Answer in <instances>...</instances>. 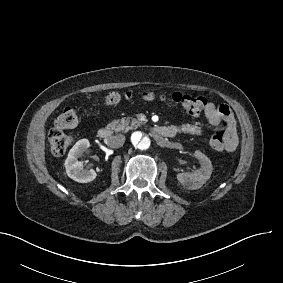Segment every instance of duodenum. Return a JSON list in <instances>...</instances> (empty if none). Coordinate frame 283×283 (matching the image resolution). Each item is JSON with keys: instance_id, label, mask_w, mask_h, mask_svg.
I'll list each match as a JSON object with an SVG mask.
<instances>
[{"instance_id": "410a0bca", "label": "duodenum", "mask_w": 283, "mask_h": 283, "mask_svg": "<svg viewBox=\"0 0 283 283\" xmlns=\"http://www.w3.org/2000/svg\"><path fill=\"white\" fill-rule=\"evenodd\" d=\"M154 135L161 137H172L173 132L165 126H154L151 129ZM97 135L101 139H107L112 135V130L108 127H102L98 130Z\"/></svg>"}]
</instances>
